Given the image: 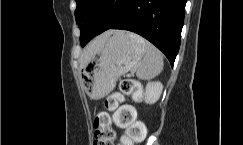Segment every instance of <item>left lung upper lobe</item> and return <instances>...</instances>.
I'll return each mask as SVG.
<instances>
[{
    "instance_id": "left-lung-upper-lobe-1",
    "label": "left lung upper lobe",
    "mask_w": 243,
    "mask_h": 145,
    "mask_svg": "<svg viewBox=\"0 0 243 145\" xmlns=\"http://www.w3.org/2000/svg\"><path fill=\"white\" fill-rule=\"evenodd\" d=\"M124 0H76L77 8L75 10L76 23L80 28V44L88 37L90 30L87 21L91 16H113L121 7Z\"/></svg>"
}]
</instances>
